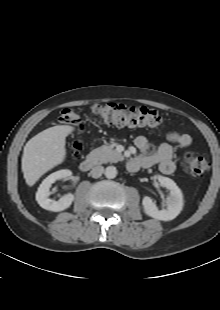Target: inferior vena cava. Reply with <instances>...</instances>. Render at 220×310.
<instances>
[{
    "label": "inferior vena cava",
    "instance_id": "obj_1",
    "mask_svg": "<svg viewBox=\"0 0 220 310\" xmlns=\"http://www.w3.org/2000/svg\"><path fill=\"white\" fill-rule=\"evenodd\" d=\"M104 173V167L103 166H95L90 171V175L93 178H99Z\"/></svg>",
    "mask_w": 220,
    "mask_h": 310
}]
</instances>
